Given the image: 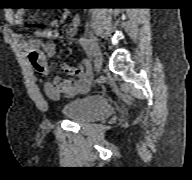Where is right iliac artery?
<instances>
[{
	"instance_id": "82829eb1",
	"label": "right iliac artery",
	"mask_w": 192,
	"mask_h": 180,
	"mask_svg": "<svg viewBox=\"0 0 192 180\" xmlns=\"http://www.w3.org/2000/svg\"><path fill=\"white\" fill-rule=\"evenodd\" d=\"M79 43L86 52L87 56L91 59L93 54L90 41L83 37L79 39Z\"/></svg>"
}]
</instances>
